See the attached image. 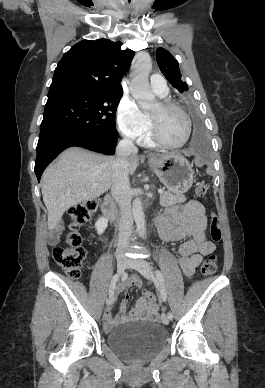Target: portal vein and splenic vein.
Instances as JSON below:
<instances>
[{
	"label": "portal vein and splenic vein",
	"instance_id": "obj_1",
	"mask_svg": "<svg viewBox=\"0 0 265 388\" xmlns=\"http://www.w3.org/2000/svg\"><path fill=\"white\" fill-rule=\"evenodd\" d=\"M93 186H97V184H93ZM159 194H163L164 190H158Z\"/></svg>",
	"mask_w": 265,
	"mask_h": 388
}]
</instances>
